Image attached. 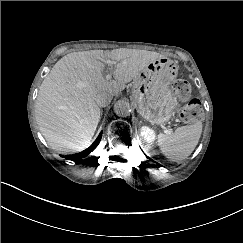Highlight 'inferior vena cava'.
<instances>
[{
    "instance_id": "1",
    "label": "inferior vena cava",
    "mask_w": 243,
    "mask_h": 243,
    "mask_svg": "<svg viewBox=\"0 0 243 243\" xmlns=\"http://www.w3.org/2000/svg\"><path fill=\"white\" fill-rule=\"evenodd\" d=\"M96 102L98 103L99 106H107L109 103V97L106 92H101L98 93L96 96Z\"/></svg>"
}]
</instances>
